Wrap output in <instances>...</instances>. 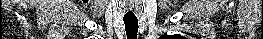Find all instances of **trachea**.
Returning <instances> with one entry per match:
<instances>
[{
  "mask_svg": "<svg viewBox=\"0 0 263 39\" xmlns=\"http://www.w3.org/2000/svg\"><path fill=\"white\" fill-rule=\"evenodd\" d=\"M127 39H136L138 33V19L137 18H123Z\"/></svg>",
  "mask_w": 263,
  "mask_h": 39,
  "instance_id": "3493384b",
  "label": "trachea"
}]
</instances>
